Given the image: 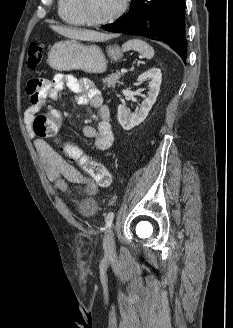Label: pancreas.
I'll list each match as a JSON object with an SVG mask.
<instances>
[{
	"instance_id": "1",
	"label": "pancreas",
	"mask_w": 233,
	"mask_h": 328,
	"mask_svg": "<svg viewBox=\"0 0 233 328\" xmlns=\"http://www.w3.org/2000/svg\"><path fill=\"white\" fill-rule=\"evenodd\" d=\"M122 75V73L116 72L109 75L108 77H105L102 79V81L108 88H115V85L119 82V79L122 77Z\"/></svg>"
}]
</instances>
